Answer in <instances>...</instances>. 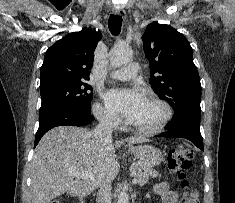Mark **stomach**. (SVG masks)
Returning <instances> with one entry per match:
<instances>
[{
	"mask_svg": "<svg viewBox=\"0 0 235 203\" xmlns=\"http://www.w3.org/2000/svg\"><path fill=\"white\" fill-rule=\"evenodd\" d=\"M128 150L143 166L154 167L163 161L164 155L161 150L152 145L131 146Z\"/></svg>",
	"mask_w": 235,
	"mask_h": 203,
	"instance_id": "0dacf381",
	"label": "stomach"
}]
</instances>
